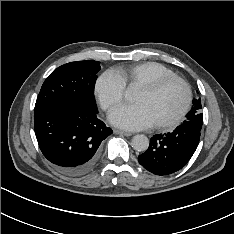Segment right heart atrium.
I'll list each match as a JSON object with an SVG mask.
<instances>
[{
  "mask_svg": "<svg viewBox=\"0 0 234 234\" xmlns=\"http://www.w3.org/2000/svg\"><path fill=\"white\" fill-rule=\"evenodd\" d=\"M94 92L101 107L110 110L122 102L125 85L113 71L107 70L97 78Z\"/></svg>",
  "mask_w": 234,
  "mask_h": 234,
  "instance_id": "d8ad5b80",
  "label": "right heart atrium"
}]
</instances>
